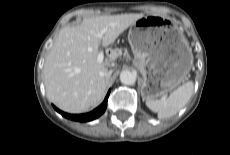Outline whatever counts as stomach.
<instances>
[{
	"label": "stomach",
	"mask_w": 230,
	"mask_h": 155,
	"mask_svg": "<svg viewBox=\"0 0 230 155\" xmlns=\"http://www.w3.org/2000/svg\"><path fill=\"white\" fill-rule=\"evenodd\" d=\"M143 83L141 95L156 100L187 79L193 63L192 50L181 28L161 16H143L128 34Z\"/></svg>",
	"instance_id": "obj_1"
}]
</instances>
